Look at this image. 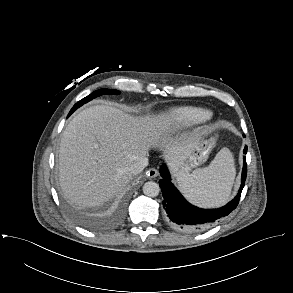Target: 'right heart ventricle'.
Wrapping results in <instances>:
<instances>
[{
    "label": "right heart ventricle",
    "instance_id": "1",
    "mask_svg": "<svg viewBox=\"0 0 293 293\" xmlns=\"http://www.w3.org/2000/svg\"><path fill=\"white\" fill-rule=\"evenodd\" d=\"M210 117L211 112L201 107H174L162 114L159 131L163 134L171 133L205 122Z\"/></svg>",
    "mask_w": 293,
    "mask_h": 293
}]
</instances>
